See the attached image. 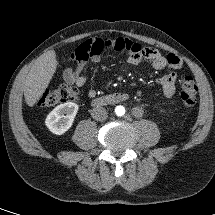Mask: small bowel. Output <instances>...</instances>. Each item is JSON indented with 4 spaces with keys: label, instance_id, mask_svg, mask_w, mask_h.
<instances>
[{
    "label": "small bowel",
    "instance_id": "1",
    "mask_svg": "<svg viewBox=\"0 0 215 215\" xmlns=\"http://www.w3.org/2000/svg\"><path fill=\"white\" fill-rule=\"evenodd\" d=\"M106 48H111L116 51H126L128 53V62L131 64L148 63L155 70L170 68L171 71L160 76L157 83L165 98L170 99L173 97L177 79L174 71L182 67V60L174 53L162 55L155 48L141 47L140 44L127 37L91 38L82 43L71 55L74 65L68 66L63 72L65 82L76 87L84 86L87 81V76L82 71L87 61L90 60L94 64L100 62L102 52ZM96 94L97 92L93 88L87 92L89 98H94Z\"/></svg>",
    "mask_w": 215,
    "mask_h": 215
}]
</instances>
